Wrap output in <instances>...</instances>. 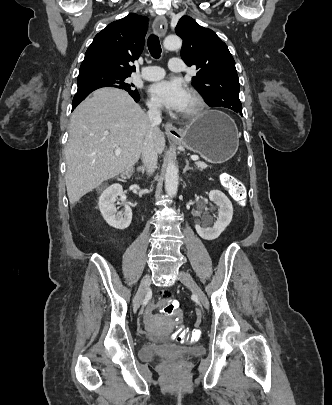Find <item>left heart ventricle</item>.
I'll use <instances>...</instances> for the list:
<instances>
[{"instance_id":"b2bd125f","label":"left heart ventricle","mask_w":332,"mask_h":405,"mask_svg":"<svg viewBox=\"0 0 332 405\" xmlns=\"http://www.w3.org/2000/svg\"><path fill=\"white\" fill-rule=\"evenodd\" d=\"M191 108H192V101H191L190 97H188L187 103H186L184 109L182 110V113L188 112Z\"/></svg>"}]
</instances>
